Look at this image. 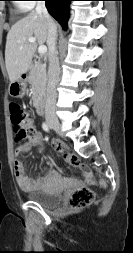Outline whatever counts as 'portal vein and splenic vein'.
I'll return each mask as SVG.
<instances>
[{"label":"portal vein and splenic vein","instance_id":"obj_1","mask_svg":"<svg viewBox=\"0 0 133 253\" xmlns=\"http://www.w3.org/2000/svg\"><path fill=\"white\" fill-rule=\"evenodd\" d=\"M28 41L29 42H36V39L34 37H30V38H28ZM38 52L41 56L44 55L47 52V47L44 45L39 46Z\"/></svg>","mask_w":133,"mask_h":253}]
</instances>
